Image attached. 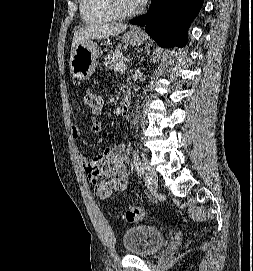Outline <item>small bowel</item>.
<instances>
[{"label": "small bowel", "instance_id": "1", "mask_svg": "<svg viewBox=\"0 0 253 271\" xmlns=\"http://www.w3.org/2000/svg\"><path fill=\"white\" fill-rule=\"evenodd\" d=\"M101 130V121L92 119L88 126V133L96 135ZM69 132L73 139H77L80 135L75 125L70 126ZM125 147L124 143L104 147L101 153L92 160H88L81 151H77L78 159L84 166L95 193L102 199L114 192L124 191L128 185V160L122 155Z\"/></svg>", "mask_w": 253, "mask_h": 271}]
</instances>
